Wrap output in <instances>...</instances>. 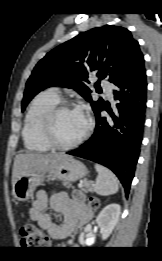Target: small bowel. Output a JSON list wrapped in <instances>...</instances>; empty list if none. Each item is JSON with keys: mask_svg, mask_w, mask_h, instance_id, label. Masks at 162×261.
Segmentation results:
<instances>
[{"mask_svg": "<svg viewBox=\"0 0 162 261\" xmlns=\"http://www.w3.org/2000/svg\"><path fill=\"white\" fill-rule=\"evenodd\" d=\"M50 203L56 212L63 215L62 228H57L46 212L48 196L44 191H39L36 194V198L28 211L30 219L35 221L40 228L48 230L51 235H58L60 231L63 232V228L67 232L73 230L76 225L74 215L78 211L73 200L64 193H56L51 197Z\"/></svg>", "mask_w": 162, "mask_h": 261, "instance_id": "c3829d8e", "label": "small bowel"}]
</instances>
